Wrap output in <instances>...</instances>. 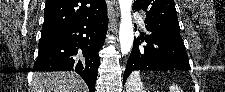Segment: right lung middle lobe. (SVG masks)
Masks as SVG:
<instances>
[{
  "label": "right lung middle lobe",
  "mask_w": 225,
  "mask_h": 92,
  "mask_svg": "<svg viewBox=\"0 0 225 92\" xmlns=\"http://www.w3.org/2000/svg\"><path fill=\"white\" fill-rule=\"evenodd\" d=\"M58 32H60V31L41 30V37L52 35V34H55V33H58Z\"/></svg>",
  "instance_id": "right-lung-middle-lobe-1"
}]
</instances>
